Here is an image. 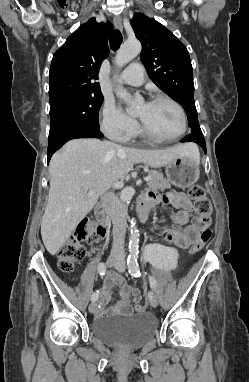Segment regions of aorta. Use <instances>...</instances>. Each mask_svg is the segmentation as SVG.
I'll use <instances>...</instances> for the list:
<instances>
[{
	"instance_id": "obj_1",
	"label": "aorta",
	"mask_w": 249,
	"mask_h": 382,
	"mask_svg": "<svg viewBox=\"0 0 249 382\" xmlns=\"http://www.w3.org/2000/svg\"><path fill=\"white\" fill-rule=\"evenodd\" d=\"M141 52V43L137 39L127 40L117 51L115 56V63L118 67H123L134 59ZM117 97L124 100L126 103L133 105L134 102L130 94L122 87H117L115 91ZM135 194V190L131 187L124 189L121 192V199L123 202H129ZM139 249V232L136 228L131 231L129 239V251L132 256L138 254Z\"/></svg>"
}]
</instances>
